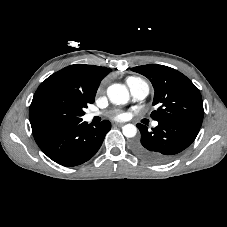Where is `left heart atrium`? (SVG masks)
Masks as SVG:
<instances>
[{
  "mask_svg": "<svg viewBox=\"0 0 227 227\" xmlns=\"http://www.w3.org/2000/svg\"><path fill=\"white\" fill-rule=\"evenodd\" d=\"M113 118L115 120H123L126 118V113H124L122 111H117L113 114Z\"/></svg>",
  "mask_w": 227,
  "mask_h": 227,
  "instance_id": "left-heart-atrium-1",
  "label": "left heart atrium"
}]
</instances>
